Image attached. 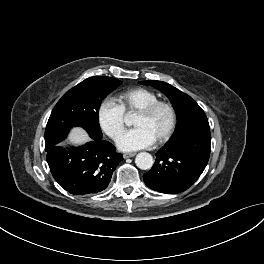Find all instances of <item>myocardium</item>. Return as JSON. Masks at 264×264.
<instances>
[{
  "label": "myocardium",
  "instance_id": "obj_1",
  "mask_svg": "<svg viewBox=\"0 0 264 264\" xmlns=\"http://www.w3.org/2000/svg\"><path fill=\"white\" fill-rule=\"evenodd\" d=\"M160 108L166 109L169 114V123L166 131L158 139H156L158 143H164L171 138L176 128L177 113L175 107L168 101L157 100L147 105L146 107L142 108L141 110H139L137 112V115L143 117H150Z\"/></svg>",
  "mask_w": 264,
  "mask_h": 264
}]
</instances>
